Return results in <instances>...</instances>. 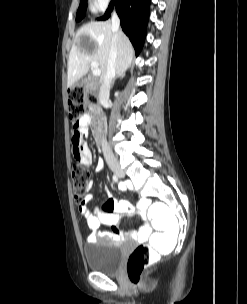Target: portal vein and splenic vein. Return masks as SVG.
<instances>
[{
    "instance_id": "1",
    "label": "portal vein and splenic vein",
    "mask_w": 247,
    "mask_h": 304,
    "mask_svg": "<svg viewBox=\"0 0 247 304\" xmlns=\"http://www.w3.org/2000/svg\"><path fill=\"white\" fill-rule=\"evenodd\" d=\"M91 67L93 69V75L99 76L101 74V70L99 69L98 63L92 62Z\"/></svg>"
}]
</instances>
